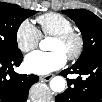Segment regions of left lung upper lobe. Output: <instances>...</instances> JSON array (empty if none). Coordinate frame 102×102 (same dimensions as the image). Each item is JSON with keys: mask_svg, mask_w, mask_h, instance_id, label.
<instances>
[{"mask_svg": "<svg viewBox=\"0 0 102 102\" xmlns=\"http://www.w3.org/2000/svg\"><path fill=\"white\" fill-rule=\"evenodd\" d=\"M62 12L76 22L83 36L84 49L77 62L102 58V20L84 9H69Z\"/></svg>", "mask_w": 102, "mask_h": 102, "instance_id": "1", "label": "left lung upper lobe"}]
</instances>
